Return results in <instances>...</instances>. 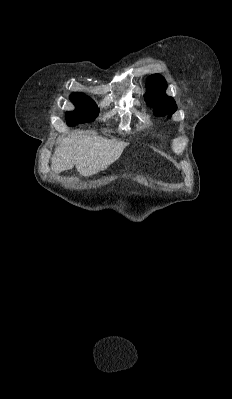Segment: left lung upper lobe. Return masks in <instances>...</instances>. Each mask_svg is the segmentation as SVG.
Instances as JSON below:
<instances>
[{
	"label": "left lung upper lobe",
	"mask_w": 232,
	"mask_h": 399,
	"mask_svg": "<svg viewBox=\"0 0 232 399\" xmlns=\"http://www.w3.org/2000/svg\"><path fill=\"white\" fill-rule=\"evenodd\" d=\"M145 101L148 105L154 107L155 115L165 116L168 118L177 110L174 99L165 94L167 83L160 74H154L147 78L146 81Z\"/></svg>",
	"instance_id": "obj_1"
}]
</instances>
